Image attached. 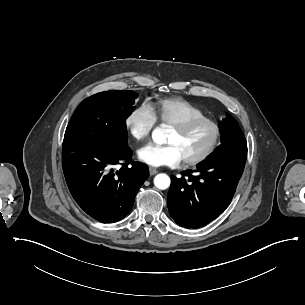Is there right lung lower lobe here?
<instances>
[{
  "mask_svg": "<svg viewBox=\"0 0 305 305\" xmlns=\"http://www.w3.org/2000/svg\"><path fill=\"white\" fill-rule=\"evenodd\" d=\"M122 165L114 171L115 165ZM62 165L68 188L77 204L96 220L109 223L123 219L149 176L146 165L132 160L126 145L101 148L88 144L63 147Z\"/></svg>",
  "mask_w": 305,
  "mask_h": 305,
  "instance_id": "right-lung-lower-lobe-1",
  "label": "right lung lower lobe"
}]
</instances>
